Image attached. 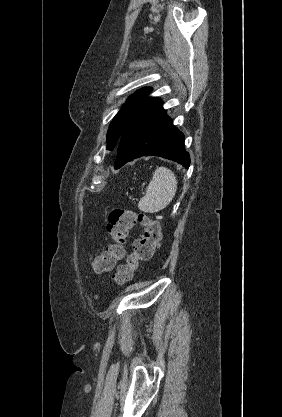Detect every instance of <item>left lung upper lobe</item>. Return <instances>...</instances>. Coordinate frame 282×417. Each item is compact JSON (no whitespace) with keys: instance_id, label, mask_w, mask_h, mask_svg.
I'll use <instances>...</instances> for the list:
<instances>
[{"instance_id":"1","label":"left lung upper lobe","mask_w":282,"mask_h":417,"mask_svg":"<svg viewBox=\"0 0 282 417\" xmlns=\"http://www.w3.org/2000/svg\"><path fill=\"white\" fill-rule=\"evenodd\" d=\"M150 88H143L138 90L135 94L130 96L127 100V104L122 107V109L117 113V115L112 120L108 134H107V150L112 151L117 147V144L120 140L123 126L132 113V111L140 105L143 101L146 100V96L150 93Z\"/></svg>"}]
</instances>
